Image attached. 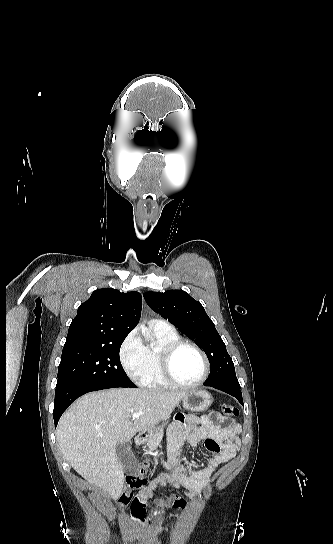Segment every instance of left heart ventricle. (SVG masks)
Masks as SVG:
<instances>
[{"label":"left heart ventricle","instance_id":"1","mask_svg":"<svg viewBox=\"0 0 333 544\" xmlns=\"http://www.w3.org/2000/svg\"><path fill=\"white\" fill-rule=\"evenodd\" d=\"M173 370L178 380L193 383L204 373V362L201 356L191 348L181 349L174 358Z\"/></svg>","mask_w":333,"mask_h":544}]
</instances>
